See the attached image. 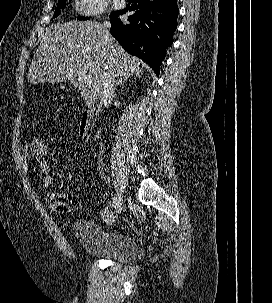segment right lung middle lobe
<instances>
[{"label": "right lung middle lobe", "instance_id": "1", "mask_svg": "<svg viewBox=\"0 0 272 303\" xmlns=\"http://www.w3.org/2000/svg\"><path fill=\"white\" fill-rule=\"evenodd\" d=\"M66 5V0H59L58 1V5H57V8L55 9V12H54V16L53 17H56L58 16L59 14H61V8H64ZM116 12H112L111 15L115 14ZM79 20H86L87 18L86 17H78Z\"/></svg>", "mask_w": 272, "mask_h": 303}]
</instances>
